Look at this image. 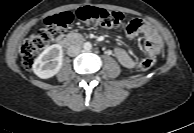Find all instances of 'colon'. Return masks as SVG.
Here are the masks:
<instances>
[{
    "mask_svg": "<svg viewBox=\"0 0 194 133\" xmlns=\"http://www.w3.org/2000/svg\"><path fill=\"white\" fill-rule=\"evenodd\" d=\"M75 16L83 23H92L109 28H126L129 23L126 22L122 13L108 11L95 6H83L77 9ZM72 20L73 14L71 12H63L47 17L44 21V26L29 36L21 45L20 54L24 67L31 68L35 59L52 40L56 32L65 28ZM154 64V57L147 56L137 65V71H146Z\"/></svg>",
    "mask_w": 194,
    "mask_h": 133,
    "instance_id": "obj_1",
    "label": "colon"
}]
</instances>
